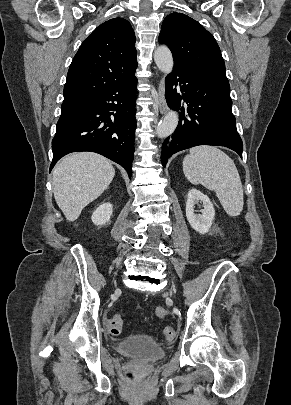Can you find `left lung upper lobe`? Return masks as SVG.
<instances>
[{"mask_svg":"<svg viewBox=\"0 0 291 405\" xmlns=\"http://www.w3.org/2000/svg\"><path fill=\"white\" fill-rule=\"evenodd\" d=\"M159 42L172 52L174 65L225 74V63L213 35L183 13L163 21Z\"/></svg>","mask_w":291,"mask_h":405,"instance_id":"1","label":"left lung upper lobe"}]
</instances>
